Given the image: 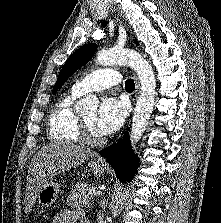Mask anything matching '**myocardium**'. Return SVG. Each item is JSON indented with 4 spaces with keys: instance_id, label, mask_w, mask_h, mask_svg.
I'll return each instance as SVG.
<instances>
[{
    "instance_id": "obj_1",
    "label": "myocardium",
    "mask_w": 221,
    "mask_h": 223,
    "mask_svg": "<svg viewBox=\"0 0 221 223\" xmlns=\"http://www.w3.org/2000/svg\"><path fill=\"white\" fill-rule=\"evenodd\" d=\"M79 137L80 140L89 145H101L105 142L103 136L95 135L83 117L79 121Z\"/></svg>"
}]
</instances>
